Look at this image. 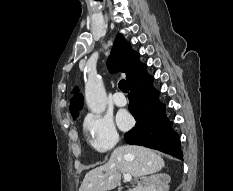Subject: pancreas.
<instances>
[{
    "label": "pancreas",
    "mask_w": 233,
    "mask_h": 191,
    "mask_svg": "<svg viewBox=\"0 0 233 191\" xmlns=\"http://www.w3.org/2000/svg\"><path fill=\"white\" fill-rule=\"evenodd\" d=\"M130 191H140V190H138V189H132V190H130Z\"/></svg>",
    "instance_id": "cf45deb5"
}]
</instances>
